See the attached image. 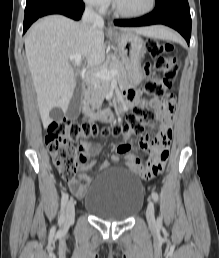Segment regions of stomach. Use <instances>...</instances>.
I'll return each mask as SVG.
<instances>
[{"label":"stomach","mask_w":219,"mask_h":258,"mask_svg":"<svg viewBox=\"0 0 219 258\" xmlns=\"http://www.w3.org/2000/svg\"><path fill=\"white\" fill-rule=\"evenodd\" d=\"M118 52L127 71V79L132 85L142 80L141 58L146 52L142 38L134 31L116 34Z\"/></svg>","instance_id":"1"}]
</instances>
